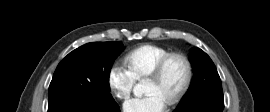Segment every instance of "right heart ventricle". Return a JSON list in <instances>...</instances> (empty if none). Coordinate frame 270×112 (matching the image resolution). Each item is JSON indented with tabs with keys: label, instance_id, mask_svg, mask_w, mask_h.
<instances>
[{
	"label": "right heart ventricle",
	"instance_id": "e07e8e85",
	"mask_svg": "<svg viewBox=\"0 0 270 112\" xmlns=\"http://www.w3.org/2000/svg\"><path fill=\"white\" fill-rule=\"evenodd\" d=\"M167 48L146 44L130 51L125 56V63L135 80L146 78L162 58L170 54Z\"/></svg>",
	"mask_w": 270,
	"mask_h": 112
}]
</instances>
